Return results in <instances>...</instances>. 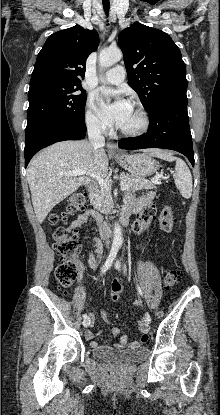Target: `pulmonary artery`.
Segmentation results:
<instances>
[{
  "instance_id": "1",
  "label": "pulmonary artery",
  "mask_w": 220,
  "mask_h": 415,
  "mask_svg": "<svg viewBox=\"0 0 220 415\" xmlns=\"http://www.w3.org/2000/svg\"><path fill=\"white\" fill-rule=\"evenodd\" d=\"M125 73L122 66H116L107 71L104 75V81L110 84H121L124 81Z\"/></svg>"
}]
</instances>
